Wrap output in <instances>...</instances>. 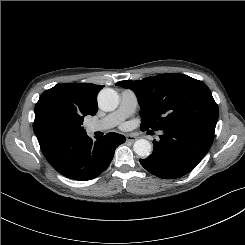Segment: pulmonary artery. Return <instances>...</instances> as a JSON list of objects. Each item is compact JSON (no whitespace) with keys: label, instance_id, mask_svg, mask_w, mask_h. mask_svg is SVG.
Returning <instances> with one entry per match:
<instances>
[{"label":"pulmonary artery","instance_id":"1","mask_svg":"<svg viewBox=\"0 0 245 245\" xmlns=\"http://www.w3.org/2000/svg\"><path fill=\"white\" fill-rule=\"evenodd\" d=\"M136 108L137 97L135 93L131 90H124L120 96L119 107L105 117L91 121L87 125V131L93 133L96 131H105L111 129L132 115Z\"/></svg>","mask_w":245,"mask_h":245}]
</instances>
